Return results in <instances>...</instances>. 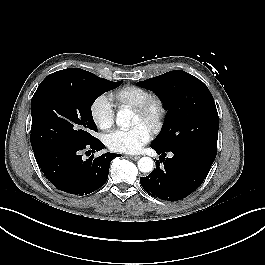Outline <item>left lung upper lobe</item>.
<instances>
[{"label":"left lung upper lobe","instance_id":"1","mask_svg":"<svg viewBox=\"0 0 265 265\" xmlns=\"http://www.w3.org/2000/svg\"><path fill=\"white\" fill-rule=\"evenodd\" d=\"M137 84L155 92L168 110L162 131L151 146L161 150L193 147L216 156L218 113L202 81L185 71L174 70Z\"/></svg>","mask_w":265,"mask_h":265}]
</instances>
